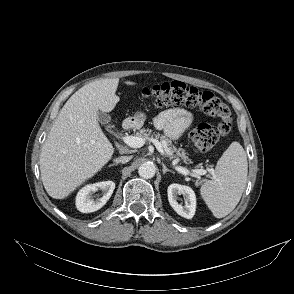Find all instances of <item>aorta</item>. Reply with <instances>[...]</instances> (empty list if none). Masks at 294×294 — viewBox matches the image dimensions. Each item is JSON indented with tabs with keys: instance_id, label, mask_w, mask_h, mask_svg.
Returning a JSON list of instances; mask_svg holds the SVG:
<instances>
[{
	"instance_id": "obj_1",
	"label": "aorta",
	"mask_w": 294,
	"mask_h": 294,
	"mask_svg": "<svg viewBox=\"0 0 294 294\" xmlns=\"http://www.w3.org/2000/svg\"><path fill=\"white\" fill-rule=\"evenodd\" d=\"M138 173L144 179H151L156 173L155 165L151 162L143 163L139 166Z\"/></svg>"
}]
</instances>
